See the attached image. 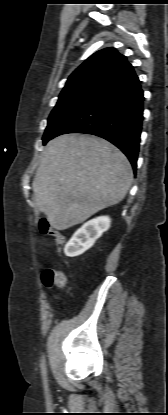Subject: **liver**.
<instances>
[{"label": "liver", "mask_w": 168, "mask_h": 415, "mask_svg": "<svg viewBox=\"0 0 168 415\" xmlns=\"http://www.w3.org/2000/svg\"><path fill=\"white\" fill-rule=\"evenodd\" d=\"M132 180L127 157L113 144L93 135L66 134L47 144L32 187L50 226L65 230L121 202Z\"/></svg>", "instance_id": "obj_1"}]
</instances>
